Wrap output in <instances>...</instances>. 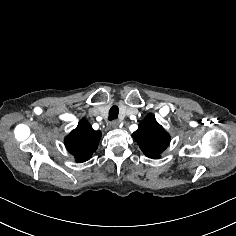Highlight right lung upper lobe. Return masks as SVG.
<instances>
[{
	"label": "right lung upper lobe",
	"instance_id": "right-lung-upper-lobe-1",
	"mask_svg": "<svg viewBox=\"0 0 236 236\" xmlns=\"http://www.w3.org/2000/svg\"><path fill=\"white\" fill-rule=\"evenodd\" d=\"M101 135V131L93 130L86 120H81L65 138V146L77 162H84L96 151Z\"/></svg>",
	"mask_w": 236,
	"mask_h": 236
}]
</instances>
